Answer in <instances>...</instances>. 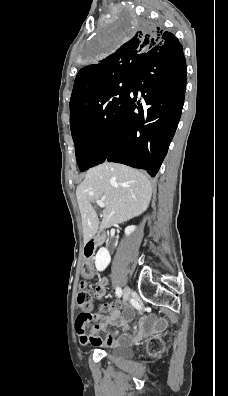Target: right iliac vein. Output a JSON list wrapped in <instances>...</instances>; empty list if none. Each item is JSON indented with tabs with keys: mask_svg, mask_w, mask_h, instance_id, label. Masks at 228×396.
Here are the masks:
<instances>
[{
	"mask_svg": "<svg viewBox=\"0 0 228 396\" xmlns=\"http://www.w3.org/2000/svg\"><path fill=\"white\" fill-rule=\"evenodd\" d=\"M131 294V290L129 287H125L124 288V292H123V302L126 303L130 297Z\"/></svg>",
	"mask_w": 228,
	"mask_h": 396,
	"instance_id": "1",
	"label": "right iliac vein"
}]
</instances>
